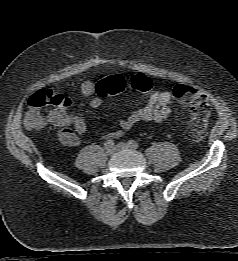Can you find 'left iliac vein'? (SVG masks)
<instances>
[{"label": "left iliac vein", "mask_w": 238, "mask_h": 261, "mask_svg": "<svg viewBox=\"0 0 238 261\" xmlns=\"http://www.w3.org/2000/svg\"><path fill=\"white\" fill-rule=\"evenodd\" d=\"M128 148H132V147L127 143L121 142L116 145V150H124V149H128Z\"/></svg>", "instance_id": "left-iliac-vein-1"}]
</instances>
